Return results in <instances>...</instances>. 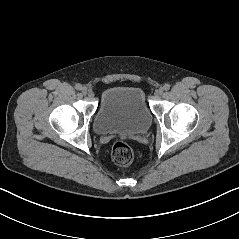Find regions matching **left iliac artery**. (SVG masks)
I'll list each match as a JSON object with an SVG mask.
<instances>
[{
    "label": "left iliac artery",
    "instance_id": "left-iliac-artery-1",
    "mask_svg": "<svg viewBox=\"0 0 239 239\" xmlns=\"http://www.w3.org/2000/svg\"><path fill=\"white\" fill-rule=\"evenodd\" d=\"M164 89H165V90H169V89H170V85H169V84H165V85H164Z\"/></svg>",
    "mask_w": 239,
    "mask_h": 239
}]
</instances>
